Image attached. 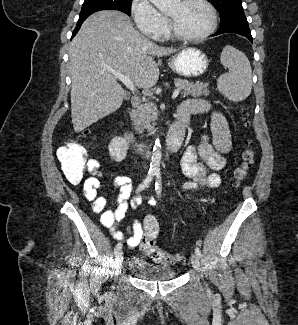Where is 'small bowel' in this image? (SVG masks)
Returning <instances> with one entry per match:
<instances>
[{"label":"small bowel","mask_w":298,"mask_h":325,"mask_svg":"<svg viewBox=\"0 0 298 325\" xmlns=\"http://www.w3.org/2000/svg\"><path fill=\"white\" fill-rule=\"evenodd\" d=\"M188 102L198 104L202 109L201 112L209 109L206 102ZM231 146L232 141L228 122L222 113L214 111L211 117V143L208 136H203L198 149L189 147L181 158L182 171L190 179L184 184V189L218 187L221 184V177L218 172L225 166L223 154L229 152ZM100 177L99 170L91 173L83 183L82 194L86 200L92 203V210L101 214V224L111 231L115 239L122 240L124 236L118 230V225L124 219L129 208L128 199L132 191L131 179L124 175L117 176L114 179L113 184L117 196L113 208L106 209L107 200L102 196H98V190L101 187ZM148 200L151 205L158 204L154 198ZM141 202V197H135L131 201V207H137ZM142 234L141 223L139 220H135L132 225V235L127 241L128 245L136 247L140 243Z\"/></svg>","instance_id":"obj_1"}]
</instances>
